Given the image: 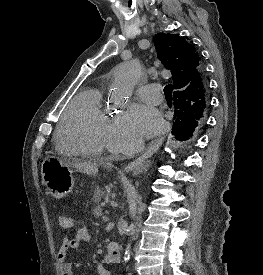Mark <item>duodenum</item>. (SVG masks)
<instances>
[{
  "mask_svg": "<svg viewBox=\"0 0 263 275\" xmlns=\"http://www.w3.org/2000/svg\"><path fill=\"white\" fill-rule=\"evenodd\" d=\"M120 261V247L116 242H109L107 245V253L104 257V263L115 264Z\"/></svg>",
  "mask_w": 263,
  "mask_h": 275,
  "instance_id": "1",
  "label": "duodenum"
}]
</instances>
